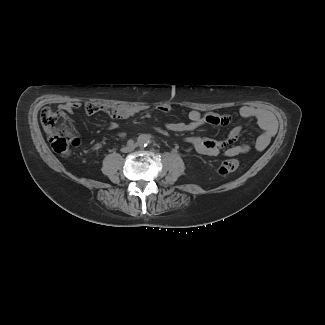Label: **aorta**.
<instances>
[{"label": "aorta", "instance_id": "aorta-1", "mask_svg": "<svg viewBox=\"0 0 325 325\" xmlns=\"http://www.w3.org/2000/svg\"><path fill=\"white\" fill-rule=\"evenodd\" d=\"M150 136L147 134H141L139 135L138 139H137V144L140 147H146L147 145H149L150 143Z\"/></svg>", "mask_w": 325, "mask_h": 325}]
</instances>
